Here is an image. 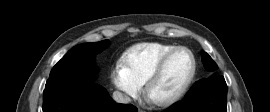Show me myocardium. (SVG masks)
Wrapping results in <instances>:
<instances>
[{"instance_id": "myocardium-1", "label": "myocardium", "mask_w": 270, "mask_h": 112, "mask_svg": "<svg viewBox=\"0 0 270 112\" xmlns=\"http://www.w3.org/2000/svg\"><path fill=\"white\" fill-rule=\"evenodd\" d=\"M180 51H186L190 55L191 60H192V69H191V72H190L187 80L180 87V89L177 90L172 95H170L164 99H161V100L152 99V97H151L152 87L159 80V78L162 76V74H163L167 64L171 60V58ZM196 73H197V60H196L194 53L189 48L184 47V46L175 47L173 50L168 52L159 61V63L157 64V66L155 67L153 72L148 77V79L145 83V93H146L147 97L156 105L162 106V107L170 106V105L176 103L177 101H179L186 94V92L189 90L190 86L192 85V83L196 77Z\"/></svg>"}]
</instances>
